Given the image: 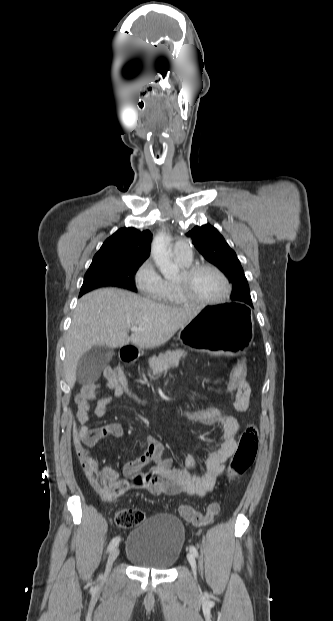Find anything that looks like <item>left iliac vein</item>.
Instances as JSON below:
<instances>
[{
	"label": "left iliac vein",
	"instance_id": "4c4485c4",
	"mask_svg": "<svg viewBox=\"0 0 333 621\" xmlns=\"http://www.w3.org/2000/svg\"><path fill=\"white\" fill-rule=\"evenodd\" d=\"M187 559H188V562H189V564L191 566L193 574L196 575V559H195L194 555L192 553H188L187 554Z\"/></svg>",
	"mask_w": 333,
	"mask_h": 621
}]
</instances>
